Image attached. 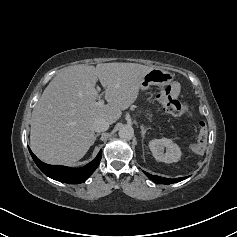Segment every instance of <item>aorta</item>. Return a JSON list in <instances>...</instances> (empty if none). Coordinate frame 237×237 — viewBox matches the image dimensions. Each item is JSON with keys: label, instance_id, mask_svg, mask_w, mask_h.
<instances>
[{"label": "aorta", "instance_id": "762f6f07", "mask_svg": "<svg viewBox=\"0 0 237 237\" xmlns=\"http://www.w3.org/2000/svg\"><path fill=\"white\" fill-rule=\"evenodd\" d=\"M118 134L122 140H131L134 136V130L132 127L124 126L119 129Z\"/></svg>", "mask_w": 237, "mask_h": 237}]
</instances>
